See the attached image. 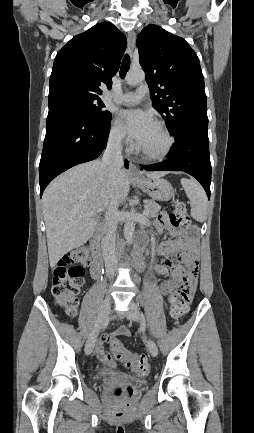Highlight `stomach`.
<instances>
[{
  "mask_svg": "<svg viewBox=\"0 0 254 433\" xmlns=\"http://www.w3.org/2000/svg\"><path fill=\"white\" fill-rule=\"evenodd\" d=\"M134 182L154 200L168 201L174 194L172 185L162 178L142 177L141 179H135Z\"/></svg>",
  "mask_w": 254,
  "mask_h": 433,
  "instance_id": "obj_1",
  "label": "stomach"
}]
</instances>
